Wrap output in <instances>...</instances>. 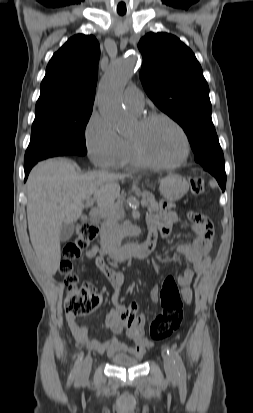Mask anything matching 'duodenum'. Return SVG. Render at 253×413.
<instances>
[{
    "instance_id": "410a0bca",
    "label": "duodenum",
    "mask_w": 253,
    "mask_h": 413,
    "mask_svg": "<svg viewBox=\"0 0 253 413\" xmlns=\"http://www.w3.org/2000/svg\"><path fill=\"white\" fill-rule=\"evenodd\" d=\"M156 247V236L151 234L147 240L141 244H129L120 249H115L107 244L106 238L102 235L100 251L106 256H110L115 261H124L132 257H148Z\"/></svg>"
}]
</instances>
